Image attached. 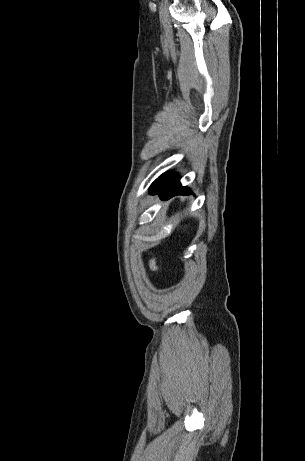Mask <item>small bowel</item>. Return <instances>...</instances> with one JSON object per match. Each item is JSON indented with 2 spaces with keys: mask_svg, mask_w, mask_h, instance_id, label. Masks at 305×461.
<instances>
[{
  "mask_svg": "<svg viewBox=\"0 0 305 461\" xmlns=\"http://www.w3.org/2000/svg\"><path fill=\"white\" fill-rule=\"evenodd\" d=\"M151 268H152V269H156V263H155V261H152V262H151Z\"/></svg>",
  "mask_w": 305,
  "mask_h": 461,
  "instance_id": "small-bowel-1",
  "label": "small bowel"
}]
</instances>
